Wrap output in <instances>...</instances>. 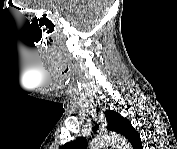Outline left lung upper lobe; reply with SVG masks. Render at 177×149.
I'll return each instance as SVG.
<instances>
[{"instance_id": "1", "label": "left lung upper lobe", "mask_w": 177, "mask_h": 149, "mask_svg": "<svg viewBox=\"0 0 177 149\" xmlns=\"http://www.w3.org/2000/svg\"><path fill=\"white\" fill-rule=\"evenodd\" d=\"M108 126L111 131L124 135L128 141L132 144L133 148H140L141 140L138 132L132 127L130 121L122 117L119 113L113 110H107L105 112ZM96 125L93 130H97ZM87 146V139L84 137H78L76 140L66 143L61 148L63 149H85Z\"/></svg>"}]
</instances>
